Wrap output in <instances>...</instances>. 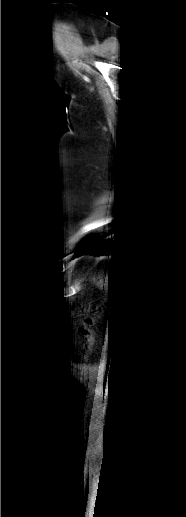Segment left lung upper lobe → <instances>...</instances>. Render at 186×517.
I'll return each mask as SVG.
<instances>
[{"label": "left lung upper lobe", "instance_id": "left-lung-upper-lobe-1", "mask_svg": "<svg viewBox=\"0 0 186 517\" xmlns=\"http://www.w3.org/2000/svg\"><path fill=\"white\" fill-rule=\"evenodd\" d=\"M87 242V240L82 244V246Z\"/></svg>", "mask_w": 186, "mask_h": 517}]
</instances>
